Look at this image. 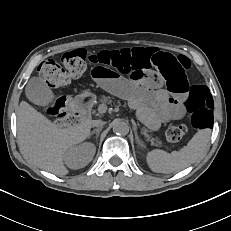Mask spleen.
<instances>
[{"label": "spleen", "mask_w": 231, "mask_h": 231, "mask_svg": "<svg viewBox=\"0 0 231 231\" xmlns=\"http://www.w3.org/2000/svg\"><path fill=\"white\" fill-rule=\"evenodd\" d=\"M210 135V129H202L193 136L187 146L171 153L154 149L147 153V164L156 173L169 174L179 172L193 164L204 153Z\"/></svg>", "instance_id": "spleen-1"}]
</instances>
